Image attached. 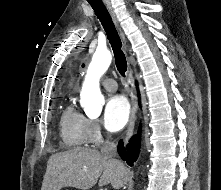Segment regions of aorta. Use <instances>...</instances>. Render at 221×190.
<instances>
[{
    "label": "aorta",
    "instance_id": "aorta-1",
    "mask_svg": "<svg viewBox=\"0 0 221 190\" xmlns=\"http://www.w3.org/2000/svg\"><path fill=\"white\" fill-rule=\"evenodd\" d=\"M112 61L109 50H96L88 67L87 74L81 90V105L86 115L96 118L102 111L104 99L100 91L99 81L107 71Z\"/></svg>",
    "mask_w": 221,
    "mask_h": 190
}]
</instances>
